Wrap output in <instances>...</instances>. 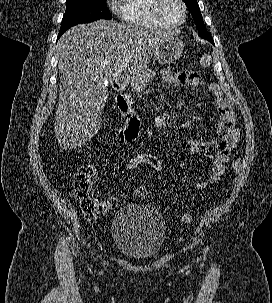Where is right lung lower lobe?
<instances>
[{"mask_svg": "<svg viewBox=\"0 0 272 303\" xmlns=\"http://www.w3.org/2000/svg\"><path fill=\"white\" fill-rule=\"evenodd\" d=\"M62 34H63V33H59V35H58L57 39H59V38H60V36H61Z\"/></svg>", "mask_w": 272, "mask_h": 303, "instance_id": "right-lung-lower-lobe-1", "label": "right lung lower lobe"}]
</instances>
